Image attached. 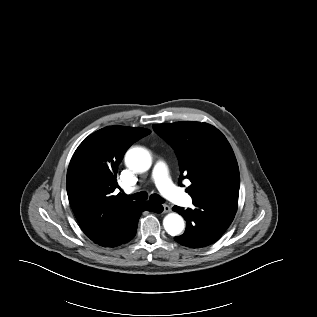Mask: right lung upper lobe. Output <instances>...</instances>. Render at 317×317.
<instances>
[{
    "mask_svg": "<svg viewBox=\"0 0 317 317\" xmlns=\"http://www.w3.org/2000/svg\"><path fill=\"white\" fill-rule=\"evenodd\" d=\"M149 133L144 128L109 126L79 145L68 167L66 188L80 224L97 219L112 227L137 203L112 192L118 187V165L126 150Z\"/></svg>",
    "mask_w": 317,
    "mask_h": 317,
    "instance_id": "obj_1",
    "label": "right lung upper lobe"
}]
</instances>
